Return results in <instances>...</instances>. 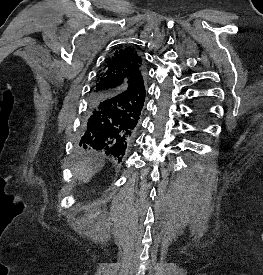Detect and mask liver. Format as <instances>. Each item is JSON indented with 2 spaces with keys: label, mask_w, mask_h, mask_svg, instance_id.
<instances>
[{
  "label": "liver",
  "mask_w": 263,
  "mask_h": 275,
  "mask_svg": "<svg viewBox=\"0 0 263 275\" xmlns=\"http://www.w3.org/2000/svg\"><path fill=\"white\" fill-rule=\"evenodd\" d=\"M103 164H101L98 169H101ZM96 170H94L93 166H90L88 163H80L74 168L75 178L80 182L83 181L87 183L95 174Z\"/></svg>",
  "instance_id": "6515ba94"
}]
</instances>
